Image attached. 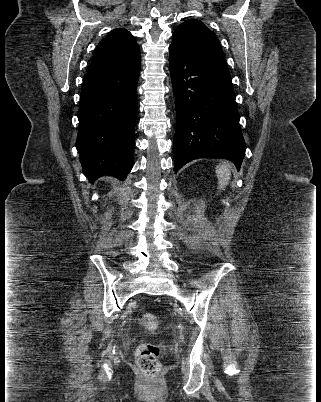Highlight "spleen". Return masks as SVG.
Wrapping results in <instances>:
<instances>
[{"instance_id":"spleen-1","label":"spleen","mask_w":321,"mask_h":402,"mask_svg":"<svg viewBox=\"0 0 321 402\" xmlns=\"http://www.w3.org/2000/svg\"><path fill=\"white\" fill-rule=\"evenodd\" d=\"M216 175L218 178L219 190H224L225 186L229 184L231 178V171L226 164H220L216 167Z\"/></svg>"}]
</instances>
